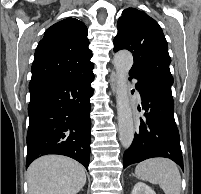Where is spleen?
Returning a JSON list of instances; mask_svg holds the SVG:
<instances>
[{
	"instance_id": "3e777b00",
	"label": "spleen",
	"mask_w": 201,
	"mask_h": 194,
	"mask_svg": "<svg viewBox=\"0 0 201 194\" xmlns=\"http://www.w3.org/2000/svg\"><path fill=\"white\" fill-rule=\"evenodd\" d=\"M138 178L158 184L165 194H180L181 176L177 165L164 158L148 159L135 168Z\"/></svg>"
}]
</instances>
